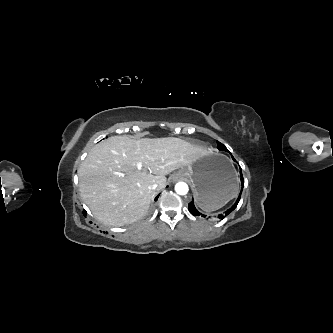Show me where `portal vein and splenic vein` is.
I'll return each mask as SVG.
<instances>
[{"label":"portal vein and splenic vein","mask_w":333,"mask_h":333,"mask_svg":"<svg viewBox=\"0 0 333 333\" xmlns=\"http://www.w3.org/2000/svg\"><path fill=\"white\" fill-rule=\"evenodd\" d=\"M137 169H138V170H141V169H142V163H138V164H137Z\"/></svg>","instance_id":"1"}]
</instances>
